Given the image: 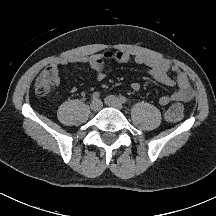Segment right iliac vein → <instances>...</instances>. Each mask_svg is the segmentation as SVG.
Wrapping results in <instances>:
<instances>
[{
  "label": "right iliac vein",
  "mask_w": 216,
  "mask_h": 216,
  "mask_svg": "<svg viewBox=\"0 0 216 216\" xmlns=\"http://www.w3.org/2000/svg\"><path fill=\"white\" fill-rule=\"evenodd\" d=\"M101 107H102V103H101V101L100 100H93L92 102H91V104H90V108H91V110L92 111H94V112H97V111H99L100 109H101Z\"/></svg>",
  "instance_id": "right-iliac-vein-1"
}]
</instances>
